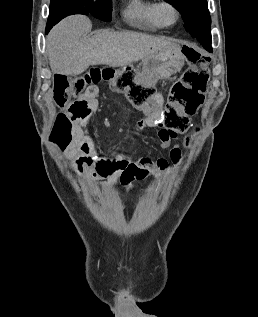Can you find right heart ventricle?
Here are the masks:
<instances>
[{
    "label": "right heart ventricle",
    "instance_id": "e07e8e85",
    "mask_svg": "<svg viewBox=\"0 0 258 317\" xmlns=\"http://www.w3.org/2000/svg\"><path fill=\"white\" fill-rule=\"evenodd\" d=\"M159 2L156 0H132L123 10V17L131 23L138 24L145 30L157 31L161 28L156 18Z\"/></svg>",
    "mask_w": 258,
    "mask_h": 317
}]
</instances>
